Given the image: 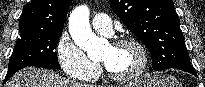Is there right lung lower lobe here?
Here are the masks:
<instances>
[{
    "instance_id": "obj_1",
    "label": "right lung lower lobe",
    "mask_w": 205,
    "mask_h": 87,
    "mask_svg": "<svg viewBox=\"0 0 205 87\" xmlns=\"http://www.w3.org/2000/svg\"><path fill=\"white\" fill-rule=\"evenodd\" d=\"M21 68H24V67H15V68H12V69H8V72L6 74V77H5V80H4V83L9 80V78L18 70H20ZM3 83V84H4Z\"/></svg>"
}]
</instances>
